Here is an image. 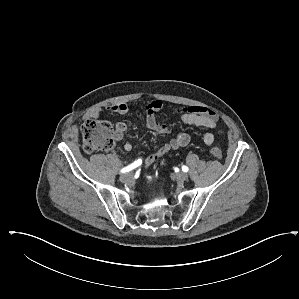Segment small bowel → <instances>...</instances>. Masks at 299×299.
<instances>
[{
	"instance_id": "c3829d8e",
	"label": "small bowel",
	"mask_w": 299,
	"mask_h": 299,
	"mask_svg": "<svg viewBox=\"0 0 299 299\" xmlns=\"http://www.w3.org/2000/svg\"><path fill=\"white\" fill-rule=\"evenodd\" d=\"M161 108L162 102L158 100H154L147 104L145 108V128L160 135H166L170 132L169 127L165 123L159 122L156 118V115L161 110ZM106 110L109 112L124 115L128 113L129 108L125 103H115L108 105L106 107ZM176 111L179 113L181 120L186 124L205 127L212 130L217 128L219 119L218 114L210 108L189 106L180 107ZM100 114V108H92L86 113L85 119L97 118ZM127 129L128 126L126 123L118 122L116 124V140H122ZM221 133L222 131L220 130L218 134ZM214 140L215 134L213 132H207L204 135V143L206 145H211ZM189 141L190 136L187 133L181 132L177 134L175 137L171 138L169 141L163 144L155 153L148 156L145 159V166H150L169 151L177 150L179 148L187 146ZM123 148L126 152H131L133 150V145L127 142L124 144Z\"/></svg>"
}]
</instances>
